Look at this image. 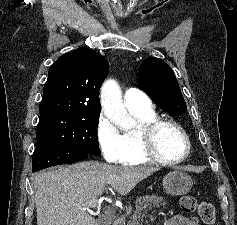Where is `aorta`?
I'll use <instances>...</instances> for the list:
<instances>
[{"label": "aorta", "instance_id": "obj_1", "mask_svg": "<svg viewBox=\"0 0 237 225\" xmlns=\"http://www.w3.org/2000/svg\"><path fill=\"white\" fill-rule=\"evenodd\" d=\"M100 101L104 114L114 124L125 130L136 126L135 119L128 114L124 106L120 87L115 80L108 79L103 83Z\"/></svg>", "mask_w": 237, "mask_h": 225}]
</instances>
